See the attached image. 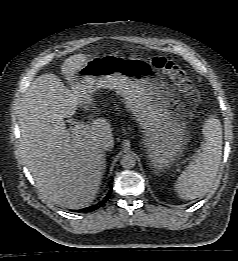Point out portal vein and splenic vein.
<instances>
[{"instance_id":"portal-vein-and-splenic-vein-1","label":"portal vein and splenic vein","mask_w":238,"mask_h":261,"mask_svg":"<svg viewBox=\"0 0 238 261\" xmlns=\"http://www.w3.org/2000/svg\"><path fill=\"white\" fill-rule=\"evenodd\" d=\"M89 129V125L83 124V123H76L72 128L71 132L75 135L84 133Z\"/></svg>"}]
</instances>
